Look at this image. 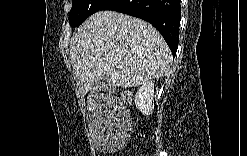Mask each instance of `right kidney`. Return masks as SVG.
<instances>
[{"label": "right kidney", "mask_w": 247, "mask_h": 156, "mask_svg": "<svg viewBox=\"0 0 247 156\" xmlns=\"http://www.w3.org/2000/svg\"><path fill=\"white\" fill-rule=\"evenodd\" d=\"M135 105L143 115H150L154 109V83L151 80L145 81L138 89Z\"/></svg>", "instance_id": "right-kidney-1"}]
</instances>
